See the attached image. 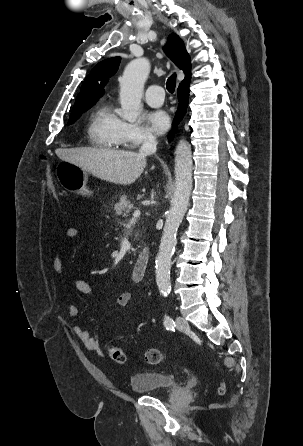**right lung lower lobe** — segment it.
<instances>
[{
	"instance_id": "obj_1",
	"label": "right lung lower lobe",
	"mask_w": 303,
	"mask_h": 446,
	"mask_svg": "<svg viewBox=\"0 0 303 446\" xmlns=\"http://www.w3.org/2000/svg\"><path fill=\"white\" fill-rule=\"evenodd\" d=\"M189 83L190 81H186L179 84V87L177 89L178 99H179V106L178 110L175 116V121L173 123V130L170 132V136L173 135L175 128L179 121L182 120L184 115L186 114L187 106H188V98H189Z\"/></svg>"
}]
</instances>
